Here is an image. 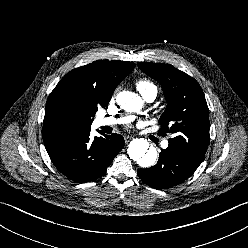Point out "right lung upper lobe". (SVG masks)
I'll use <instances>...</instances> for the list:
<instances>
[{
  "label": "right lung upper lobe",
  "mask_w": 248,
  "mask_h": 248,
  "mask_svg": "<svg viewBox=\"0 0 248 248\" xmlns=\"http://www.w3.org/2000/svg\"><path fill=\"white\" fill-rule=\"evenodd\" d=\"M134 67L132 62L98 60L67 73L48 97L42 128L44 142L77 132L57 119L59 108L108 105L115 88Z\"/></svg>",
  "instance_id": "cb5924a9"
}]
</instances>
